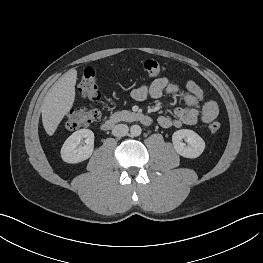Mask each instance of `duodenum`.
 I'll use <instances>...</instances> for the list:
<instances>
[{
    "instance_id": "obj_1",
    "label": "duodenum",
    "mask_w": 263,
    "mask_h": 263,
    "mask_svg": "<svg viewBox=\"0 0 263 263\" xmlns=\"http://www.w3.org/2000/svg\"><path fill=\"white\" fill-rule=\"evenodd\" d=\"M133 119L140 122L143 125L149 126L152 124V118L147 115V114H143V113H135L133 114ZM117 124V120L114 118H108L106 120H104L101 125L100 128L103 131H109L111 130L115 125Z\"/></svg>"
}]
</instances>
